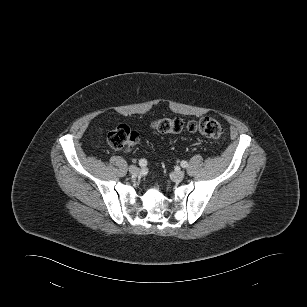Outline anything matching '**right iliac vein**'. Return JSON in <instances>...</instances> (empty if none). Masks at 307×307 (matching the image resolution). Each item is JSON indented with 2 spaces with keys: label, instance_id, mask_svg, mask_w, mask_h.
<instances>
[{
  "label": "right iliac vein",
  "instance_id": "right-iliac-vein-1",
  "mask_svg": "<svg viewBox=\"0 0 307 307\" xmlns=\"http://www.w3.org/2000/svg\"><path fill=\"white\" fill-rule=\"evenodd\" d=\"M129 172L131 175L136 176L140 172V169L137 166L132 165L129 167Z\"/></svg>",
  "mask_w": 307,
  "mask_h": 307
}]
</instances>
